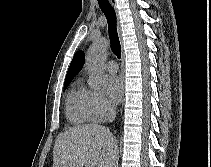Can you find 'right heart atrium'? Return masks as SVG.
Masks as SVG:
<instances>
[{
	"label": "right heart atrium",
	"mask_w": 211,
	"mask_h": 167,
	"mask_svg": "<svg viewBox=\"0 0 211 167\" xmlns=\"http://www.w3.org/2000/svg\"><path fill=\"white\" fill-rule=\"evenodd\" d=\"M87 93L89 109L93 116V120H103L107 115L111 113L112 108L100 93L92 90H87Z\"/></svg>",
	"instance_id": "d8ad5b80"
}]
</instances>
